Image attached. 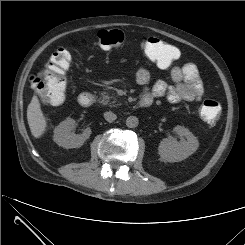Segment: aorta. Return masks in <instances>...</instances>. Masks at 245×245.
Listing matches in <instances>:
<instances>
[{
	"label": "aorta",
	"instance_id": "1",
	"mask_svg": "<svg viewBox=\"0 0 245 245\" xmlns=\"http://www.w3.org/2000/svg\"><path fill=\"white\" fill-rule=\"evenodd\" d=\"M139 124V120L136 116H129L127 119H126V126L128 128H135L137 127Z\"/></svg>",
	"mask_w": 245,
	"mask_h": 245
}]
</instances>
